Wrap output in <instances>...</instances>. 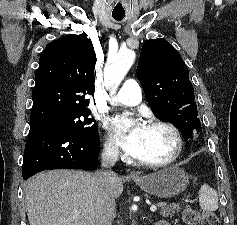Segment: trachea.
Instances as JSON below:
<instances>
[{"label": "trachea", "instance_id": "obj_1", "mask_svg": "<svg viewBox=\"0 0 237 225\" xmlns=\"http://www.w3.org/2000/svg\"><path fill=\"white\" fill-rule=\"evenodd\" d=\"M113 18L116 19V20H122L123 19V18L118 17V16H113Z\"/></svg>", "mask_w": 237, "mask_h": 225}]
</instances>
